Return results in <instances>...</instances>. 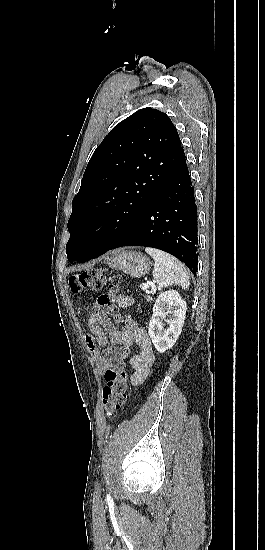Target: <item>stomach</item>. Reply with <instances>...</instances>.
Here are the masks:
<instances>
[{
    "instance_id": "1",
    "label": "stomach",
    "mask_w": 265,
    "mask_h": 550,
    "mask_svg": "<svg viewBox=\"0 0 265 550\" xmlns=\"http://www.w3.org/2000/svg\"><path fill=\"white\" fill-rule=\"evenodd\" d=\"M110 268L123 271L134 278H140L150 270L149 259L136 251L119 250L107 260Z\"/></svg>"
}]
</instances>
